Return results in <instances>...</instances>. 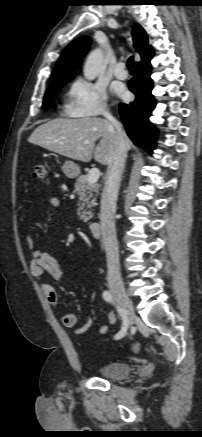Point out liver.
<instances>
[{
	"mask_svg": "<svg viewBox=\"0 0 202 437\" xmlns=\"http://www.w3.org/2000/svg\"><path fill=\"white\" fill-rule=\"evenodd\" d=\"M115 132L102 118L54 119L37 127L28 141L73 160L90 162L94 155L95 161L109 165ZM123 138L126 150H130L133 144L124 131Z\"/></svg>",
	"mask_w": 202,
	"mask_h": 437,
	"instance_id": "1",
	"label": "liver"
}]
</instances>
